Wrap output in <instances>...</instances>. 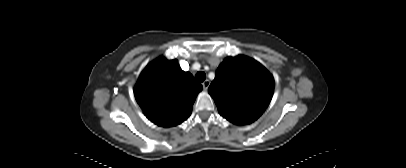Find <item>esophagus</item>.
Masks as SVG:
<instances>
[{
  "label": "esophagus",
  "instance_id": "34e87169",
  "mask_svg": "<svg viewBox=\"0 0 406 168\" xmlns=\"http://www.w3.org/2000/svg\"><path fill=\"white\" fill-rule=\"evenodd\" d=\"M209 85H210V81H209V80H205V81L202 83V86H203L204 90H207L208 87H209Z\"/></svg>",
  "mask_w": 406,
  "mask_h": 168
}]
</instances>
